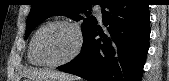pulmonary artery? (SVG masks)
<instances>
[{
    "label": "pulmonary artery",
    "mask_w": 169,
    "mask_h": 81,
    "mask_svg": "<svg viewBox=\"0 0 169 81\" xmlns=\"http://www.w3.org/2000/svg\"><path fill=\"white\" fill-rule=\"evenodd\" d=\"M95 12L97 14V17L100 21H102V15H101V12H100V7H96L95 8Z\"/></svg>",
    "instance_id": "e3ab8cb5"
}]
</instances>
